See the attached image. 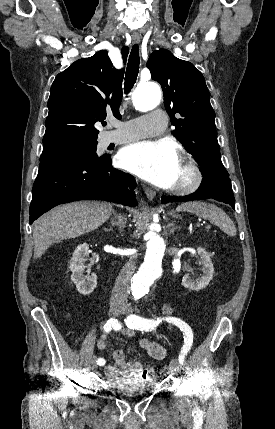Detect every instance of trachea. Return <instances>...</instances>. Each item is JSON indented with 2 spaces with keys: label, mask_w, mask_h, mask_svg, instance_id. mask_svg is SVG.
Listing matches in <instances>:
<instances>
[{
  "label": "trachea",
  "mask_w": 275,
  "mask_h": 429,
  "mask_svg": "<svg viewBox=\"0 0 275 429\" xmlns=\"http://www.w3.org/2000/svg\"><path fill=\"white\" fill-rule=\"evenodd\" d=\"M139 64H140L139 48H138V45L135 44L132 47L127 68H126L125 82H124L125 94H128L130 92V90L133 88L136 82L138 71H139Z\"/></svg>",
  "instance_id": "trachea-1"
}]
</instances>
